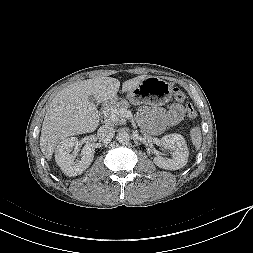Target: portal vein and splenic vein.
<instances>
[{
    "label": "portal vein and splenic vein",
    "mask_w": 253,
    "mask_h": 253,
    "mask_svg": "<svg viewBox=\"0 0 253 253\" xmlns=\"http://www.w3.org/2000/svg\"><path fill=\"white\" fill-rule=\"evenodd\" d=\"M133 115L131 111L125 109H115L111 112L110 118L113 121H118L121 118L132 119Z\"/></svg>",
    "instance_id": "18ae733b"
}]
</instances>
